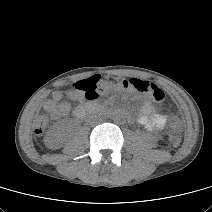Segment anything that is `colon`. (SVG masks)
<instances>
[{"instance_id": "obj_1", "label": "colon", "mask_w": 212, "mask_h": 212, "mask_svg": "<svg viewBox=\"0 0 212 212\" xmlns=\"http://www.w3.org/2000/svg\"><path fill=\"white\" fill-rule=\"evenodd\" d=\"M71 88L78 94L85 96L87 99H95L99 94L106 92L108 89L111 91H138L145 93L157 102H162L165 99L164 91L154 83L149 81L127 78L120 80H111L106 82L99 75H93L89 78L79 80L72 84ZM47 125V119L40 117L36 122L35 132L37 134L43 133ZM174 129L179 128V119L175 117L173 122Z\"/></svg>"}]
</instances>
